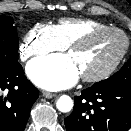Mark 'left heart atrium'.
Here are the masks:
<instances>
[{
    "mask_svg": "<svg viewBox=\"0 0 131 131\" xmlns=\"http://www.w3.org/2000/svg\"><path fill=\"white\" fill-rule=\"evenodd\" d=\"M27 74L42 88L60 90L74 85L80 72L70 54H57L31 61Z\"/></svg>",
    "mask_w": 131,
    "mask_h": 131,
    "instance_id": "1",
    "label": "left heart atrium"
}]
</instances>
